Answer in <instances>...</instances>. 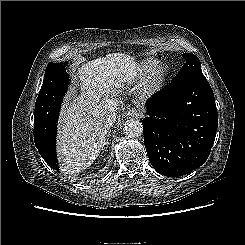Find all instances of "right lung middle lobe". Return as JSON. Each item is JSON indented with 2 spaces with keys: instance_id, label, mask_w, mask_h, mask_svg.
<instances>
[{
  "instance_id": "dd1d6c3e",
  "label": "right lung middle lobe",
  "mask_w": 245,
  "mask_h": 245,
  "mask_svg": "<svg viewBox=\"0 0 245 245\" xmlns=\"http://www.w3.org/2000/svg\"><path fill=\"white\" fill-rule=\"evenodd\" d=\"M66 64V62H50L48 64L43 85L35 104L36 118L53 119L58 117L61 102L69 84Z\"/></svg>"
}]
</instances>
